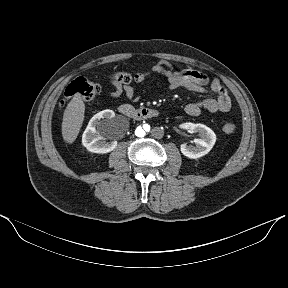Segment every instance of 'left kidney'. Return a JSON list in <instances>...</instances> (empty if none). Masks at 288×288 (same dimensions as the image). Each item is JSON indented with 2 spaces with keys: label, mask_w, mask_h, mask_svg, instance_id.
Listing matches in <instances>:
<instances>
[{
  "label": "left kidney",
  "mask_w": 288,
  "mask_h": 288,
  "mask_svg": "<svg viewBox=\"0 0 288 288\" xmlns=\"http://www.w3.org/2000/svg\"><path fill=\"white\" fill-rule=\"evenodd\" d=\"M181 128L189 130L191 133L197 132L200 139H195L196 146H187L185 143L181 144L180 149L184 156L190 159L200 158L210 152L216 142V135L212 129L204 124L184 123L180 125Z\"/></svg>",
  "instance_id": "left-kidney-1"
}]
</instances>
